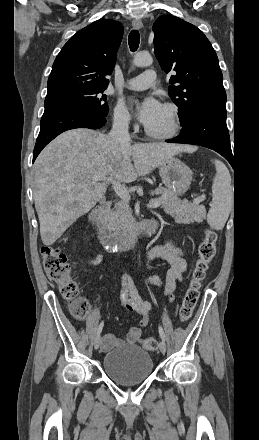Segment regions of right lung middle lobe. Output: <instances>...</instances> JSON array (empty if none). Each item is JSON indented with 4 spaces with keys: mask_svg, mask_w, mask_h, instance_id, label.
<instances>
[{
    "mask_svg": "<svg viewBox=\"0 0 259 440\" xmlns=\"http://www.w3.org/2000/svg\"><path fill=\"white\" fill-rule=\"evenodd\" d=\"M105 89L99 88H69L47 94L45 98V112L62 109H79L103 117L108 114V103Z\"/></svg>",
    "mask_w": 259,
    "mask_h": 440,
    "instance_id": "right-lung-middle-lobe-1",
    "label": "right lung middle lobe"
}]
</instances>
